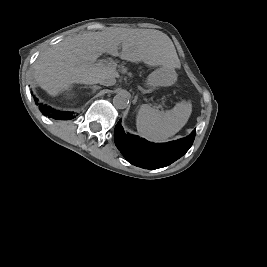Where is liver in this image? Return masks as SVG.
<instances>
[{"label": "liver", "mask_w": 267, "mask_h": 267, "mask_svg": "<svg viewBox=\"0 0 267 267\" xmlns=\"http://www.w3.org/2000/svg\"><path fill=\"white\" fill-rule=\"evenodd\" d=\"M130 62L169 69L180 67L172 40L163 32L149 29H113L68 37L42 52L33 64L37 84L56 96L72 84H96L103 76L118 77L110 64L96 63L103 53Z\"/></svg>", "instance_id": "liver-1"}]
</instances>
